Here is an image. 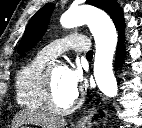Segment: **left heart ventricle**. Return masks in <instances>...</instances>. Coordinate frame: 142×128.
<instances>
[{
    "label": "left heart ventricle",
    "mask_w": 142,
    "mask_h": 128,
    "mask_svg": "<svg viewBox=\"0 0 142 128\" xmlns=\"http://www.w3.org/2000/svg\"><path fill=\"white\" fill-rule=\"evenodd\" d=\"M64 72L62 67H55L51 70L54 99L59 107L65 108L75 100V94L64 82Z\"/></svg>",
    "instance_id": "b2bd125f"
}]
</instances>
